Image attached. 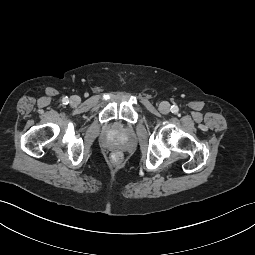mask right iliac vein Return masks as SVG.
<instances>
[{
  "label": "right iliac vein",
  "instance_id": "obj_1",
  "mask_svg": "<svg viewBox=\"0 0 255 255\" xmlns=\"http://www.w3.org/2000/svg\"><path fill=\"white\" fill-rule=\"evenodd\" d=\"M80 103V97L79 96H72L70 98V104L71 105H78Z\"/></svg>",
  "mask_w": 255,
  "mask_h": 255
}]
</instances>
